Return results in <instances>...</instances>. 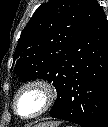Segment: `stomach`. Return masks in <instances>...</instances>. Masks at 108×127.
Instances as JSON below:
<instances>
[{"label":"stomach","mask_w":108,"mask_h":127,"mask_svg":"<svg viewBox=\"0 0 108 127\" xmlns=\"http://www.w3.org/2000/svg\"><path fill=\"white\" fill-rule=\"evenodd\" d=\"M35 127H58V124H50V125H47V126H44L42 123L41 124H38V125H35Z\"/></svg>","instance_id":"stomach-1"}]
</instances>
